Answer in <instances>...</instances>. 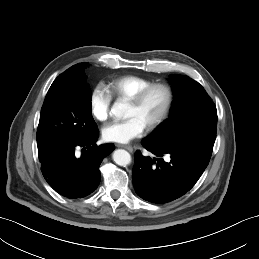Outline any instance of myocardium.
I'll use <instances>...</instances> for the list:
<instances>
[{
  "label": "myocardium",
  "mask_w": 259,
  "mask_h": 259,
  "mask_svg": "<svg viewBox=\"0 0 259 259\" xmlns=\"http://www.w3.org/2000/svg\"><path fill=\"white\" fill-rule=\"evenodd\" d=\"M155 89H160L164 92L165 102H164V106H163L160 114L152 122H150L147 125L146 128L148 130L156 129L167 118V116L172 108L173 101H174V91L171 88V86H169L166 83H152L149 86L142 89L141 91H139L133 97H131L130 99L127 100L129 104L137 107V106L141 105L143 103V101L145 100V98L148 96V94Z\"/></svg>",
  "instance_id": "obj_1"
}]
</instances>
